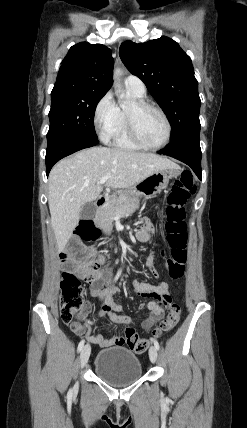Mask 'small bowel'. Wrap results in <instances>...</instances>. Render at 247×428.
<instances>
[{
	"instance_id": "c3829d8e",
	"label": "small bowel",
	"mask_w": 247,
	"mask_h": 428,
	"mask_svg": "<svg viewBox=\"0 0 247 428\" xmlns=\"http://www.w3.org/2000/svg\"><path fill=\"white\" fill-rule=\"evenodd\" d=\"M136 237L141 242H146L149 239V230L147 227H144L137 231ZM155 255L154 253H151L147 259H146V268L153 270V264H154ZM105 259L104 257L99 258V263H104ZM75 272L79 277L82 279H85V271L83 268V265H76ZM108 287L107 291H102V288L104 286ZM135 286V293L136 295L143 297V298H150L154 300L155 298H165L166 300H171V290L170 286L167 282H161L156 286L149 285L144 282L136 281L134 283ZM90 290L91 294L95 297H98L101 299L103 303V309L107 313L109 319L115 323L119 324H126L130 325L132 324V319L129 316L120 315L119 312L122 311V305L120 303L115 302L113 296L119 292L118 287H116L114 284H112L111 275L108 272L99 273V279L95 282L90 283ZM144 307L146 305L144 304ZM148 310L150 308L146 307ZM90 312V306L87 305L86 308V314L85 316ZM85 316L83 318V323H79V327H71V329L79 336L86 335L87 339L99 345L100 347H108L111 346L115 341L105 339L102 335H90L86 334V320ZM149 318V317H148ZM147 322V320H146Z\"/></svg>"
}]
</instances>
